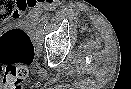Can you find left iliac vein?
Segmentation results:
<instances>
[{
  "instance_id": "obj_1",
  "label": "left iliac vein",
  "mask_w": 131,
  "mask_h": 89,
  "mask_svg": "<svg viewBox=\"0 0 131 89\" xmlns=\"http://www.w3.org/2000/svg\"><path fill=\"white\" fill-rule=\"evenodd\" d=\"M39 31L41 32V31H42V28H40Z\"/></svg>"
}]
</instances>
